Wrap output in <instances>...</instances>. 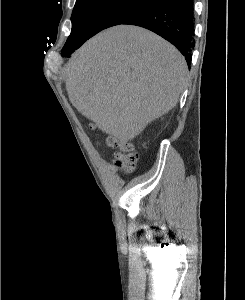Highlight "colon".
I'll return each mask as SVG.
<instances>
[{
    "label": "colon",
    "instance_id": "5ec220e1",
    "mask_svg": "<svg viewBox=\"0 0 245 300\" xmlns=\"http://www.w3.org/2000/svg\"><path fill=\"white\" fill-rule=\"evenodd\" d=\"M110 145L117 149L115 153V162L126 172H131L135 168L137 156L132 152V146L129 143H116L110 141Z\"/></svg>",
    "mask_w": 245,
    "mask_h": 300
}]
</instances>
